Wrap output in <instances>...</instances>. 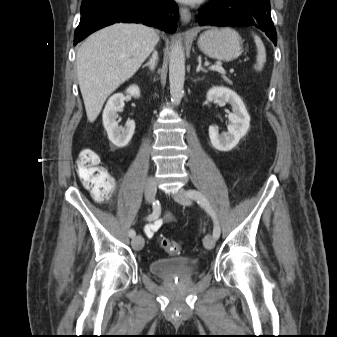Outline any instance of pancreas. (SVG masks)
<instances>
[{
  "label": "pancreas",
  "instance_id": "obj_1",
  "mask_svg": "<svg viewBox=\"0 0 337 337\" xmlns=\"http://www.w3.org/2000/svg\"><path fill=\"white\" fill-rule=\"evenodd\" d=\"M222 77L227 83L232 84V82L226 76H222Z\"/></svg>",
  "mask_w": 337,
  "mask_h": 337
}]
</instances>
